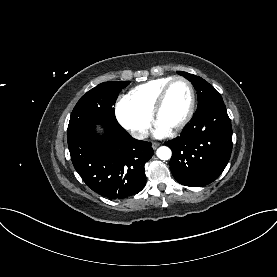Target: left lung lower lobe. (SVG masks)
I'll list each match as a JSON object with an SVG mask.
<instances>
[{"mask_svg": "<svg viewBox=\"0 0 277 277\" xmlns=\"http://www.w3.org/2000/svg\"><path fill=\"white\" fill-rule=\"evenodd\" d=\"M165 144L172 150L170 169L177 182L201 187L216 180L232 151V127L223 99L198 110L180 136Z\"/></svg>", "mask_w": 277, "mask_h": 277, "instance_id": "obj_1", "label": "left lung lower lobe"}]
</instances>
